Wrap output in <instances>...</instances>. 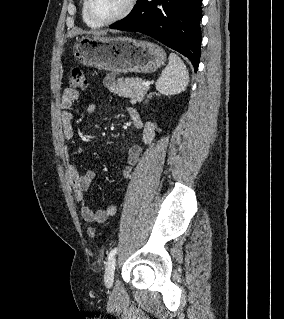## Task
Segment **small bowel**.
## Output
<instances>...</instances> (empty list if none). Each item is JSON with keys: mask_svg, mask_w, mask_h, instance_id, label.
Returning <instances> with one entry per match:
<instances>
[{"mask_svg": "<svg viewBox=\"0 0 284 319\" xmlns=\"http://www.w3.org/2000/svg\"><path fill=\"white\" fill-rule=\"evenodd\" d=\"M78 99V93L75 89L66 88L63 91L60 100V118L63 128V136L66 140L73 138L74 131L72 126V114L70 112L74 102ZM95 105H90L88 110L94 111ZM129 115L131 117L133 126L142 130V145H133L128 149L127 164L122 168L121 174L123 178L129 179L132 175L133 168L140 160L141 154L145 146H150L158 131L157 125L153 122L143 123L139 112L135 108H129ZM68 176L71 181L75 201L80 207V213L85 222L88 223H104L109 217L115 215L116 207L109 205L104 209L93 210L86 203L85 193L89 190L95 173L91 170L85 173H80L78 169L70 164L68 167Z\"/></svg>", "mask_w": 284, "mask_h": 319, "instance_id": "obj_1", "label": "small bowel"}]
</instances>
